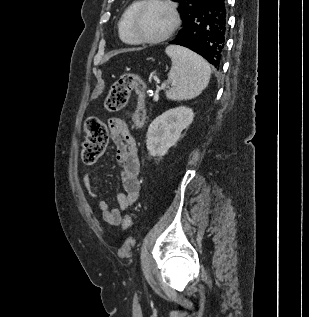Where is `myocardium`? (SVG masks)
Segmentation results:
<instances>
[{
  "label": "myocardium",
  "mask_w": 309,
  "mask_h": 317,
  "mask_svg": "<svg viewBox=\"0 0 309 317\" xmlns=\"http://www.w3.org/2000/svg\"><path fill=\"white\" fill-rule=\"evenodd\" d=\"M151 4H162L168 7L173 17L172 25L169 28V30L165 34L155 38H147L142 36L137 28L138 19L142 11ZM180 24H181L180 13L176 3L172 0H142L141 3L135 9L131 18V29H132V33L134 37L139 43H146V44H157V43H161L163 41L168 40L176 32Z\"/></svg>",
  "instance_id": "myocardium-1"
}]
</instances>
